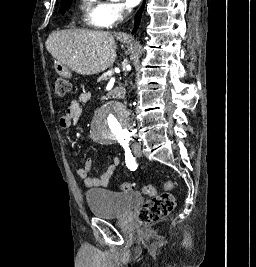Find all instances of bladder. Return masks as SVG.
<instances>
[{
	"mask_svg": "<svg viewBox=\"0 0 256 267\" xmlns=\"http://www.w3.org/2000/svg\"><path fill=\"white\" fill-rule=\"evenodd\" d=\"M86 200L93 215L120 218L127 216L138 204L143 203V196L122 195L114 191L95 189L86 192Z\"/></svg>",
	"mask_w": 256,
	"mask_h": 267,
	"instance_id": "1",
	"label": "bladder"
}]
</instances>
